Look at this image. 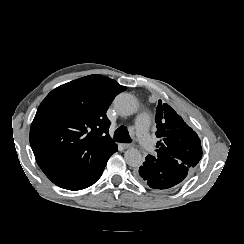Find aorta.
<instances>
[{"mask_svg": "<svg viewBox=\"0 0 244 244\" xmlns=\"http://www.w3.org/2000/svg\"><path fill=\"white\" fill-rule=\"evenodd\" d=\"M114 108L121 116H129L137 112L138 102L135 97L128 93H121L113 101ZM126 163L131 167H140L143 157L136 148H129L124 153Z\"/></svg>", "mask_w": 244, "mask_h": 244, "instance_id": "obj_1", "label": "aorta"}]
</instances>
